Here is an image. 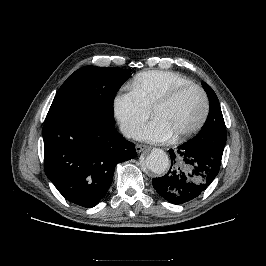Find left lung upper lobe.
Returning a JSON list of instances; mask_svg holds the SVG:
<instances>
[{"mask_svg":"<svg viewBox=\"0 0 266 266\" xmlns=\"http://www.w3.org/2000/svg\"><path fill=\"white\" fill-rule=\"evenodd\" d=\"M202 86L210 101L209 114L201 131L185 144L191 149L222 159L227 132L220 103L215 92L208 84L203 82Z\"/></svg>","mask_w":266,"mask_h":266,"instance_id":"left-lung-upper-lobe-1","label":"left lung upper lobe"}]
</instances>
